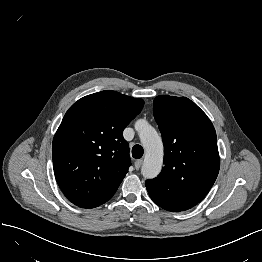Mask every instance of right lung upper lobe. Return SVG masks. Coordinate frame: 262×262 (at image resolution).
<instances>
[{
    "label": "right lung upper lobe",
    "instance_id": "cb5924a9",
    "mask_svg": "<svg viewBox=\"0 0 262 262\" xmlns=\"http://www.w3.org/2000/svg\"><path fill=\"white\" fill-rule=\"evenodd\" d=\"M144 101L105 90L85 96L66 112L52 145L54 174L64 195L82 208L115 194L131 165L124 128Z\"/></svg>",
    "mask_w": 262,
    "mask_h": 262
}]
</instances>
